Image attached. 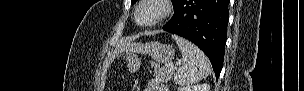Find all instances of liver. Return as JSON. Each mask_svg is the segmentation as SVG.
<instances>
[{
    "mask_svg": "<svg viewBox=\"0 0 304 91\" xmlns=\"http://www.w3.org/2000/svg\"><path fill=\"white\" fill-rule=\"evenodd\" d=\"M148 47V45H144L141 43L131 42L124 40L120 43V45L115 50V55H118L119 52H142Z\"/></svg>",
    "mask_w": 304,
    "mask_h": 91,
    "instance_id": "1",
    "label": "liver"
}]
</instances>
